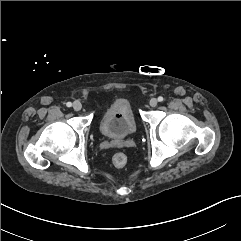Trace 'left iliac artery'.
<instances>
[{
  "instance_id": "obj_1",
  "label": "left iliac artery",
  "mask_w": 241,
  "mask_h": 241,
  "mask_svg": "<svg viewBox=\"0 0 241 241\" xmlns=\"http://www.w3.org/2000/svg\"><path fill=\"white\" fill-rule=\"evenodd\" d=\"M163 100H164V99H163L162 96H159V97H158V101H159V102H162Z\"/></svg>"
}]
</instances>
